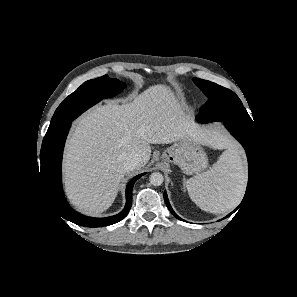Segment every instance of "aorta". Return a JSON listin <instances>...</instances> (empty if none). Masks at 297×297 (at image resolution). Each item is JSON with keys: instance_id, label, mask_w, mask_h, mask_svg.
<instances>
[{"instance_id": "aorta-1", "label": "aorta", "mask_w": 297, "mask_h": 297, "mask_svg": "<svg viewBox=\"0 0 297 297\" xmlns=\"http://www.w3.org/2000/svg\"><path fill=\"white\" fill-rule=\"evenodd\" d=\"M163 180V175L159 172H154L150 175V183L154 186H160Z\"/></svg>"}]
</instances>
